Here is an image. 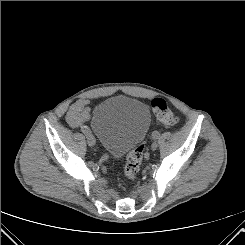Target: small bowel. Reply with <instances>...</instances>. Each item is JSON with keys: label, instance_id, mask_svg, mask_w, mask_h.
<instances>
[{"label": "small bowel", "instance_id": "obj_1", "mask_svg": "<svg viewBox=\"0 0 245 245\" xmlns=\"http://www.w3.org/2000/svg\"><path fill=\"white\" fill-rule=\"evenodd\" d=\"M89 117L88 101L85 99H79L73 103L66 115L67 122L72 128L85 127L83 123L86 122Z\"/></svg>", "mask_w": 245, "mask_h": 245}]
</instances>
